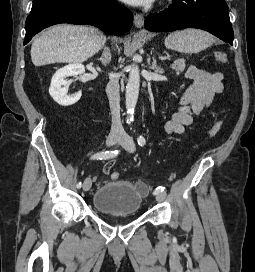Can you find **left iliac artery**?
I'll list each match as a JSON object with an SVG mask.
<instances>
[{"label": "left iliac artery", "instance_id": "1", "mask_svg": "<svg viewBox=\"0 0 255 272\" xmlns=\"http://www.w3.org/2000/svg\"><path fill=\"white\" fill-rule=\"evenodd\" d=\"M137 142H138V144L140 145V146H143V145H145V138L142 136V135H140V136H138V138H137ZM164 190H165V187H163V186H159V187H157L156 188V190L153 192V194L155 195L156 193H158V192H164Z\"/></svg>", "mask_w": 255, "mask_h": 272}]
</instances>
